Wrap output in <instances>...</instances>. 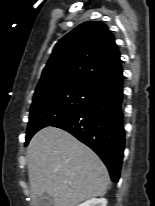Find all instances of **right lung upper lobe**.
<instances>
[{
	"mask_svg": "<svg viewBox=\"0 0 155 206\" xmlns=\"http://www.w3.org/2000/svg\"><path fill=\"white\" fill-rule=\"evenodd\" d=\"M120 52L102 22H85L55 45L35 93L84 85L101 92L123 81Z\"/></svg>",
	"mask_w": 155,
	"mask_h": 206,
	"instance_id": "right-lung-upper-lobe-1",
	"label": "right lung upper lobe"
}]
</instances>
